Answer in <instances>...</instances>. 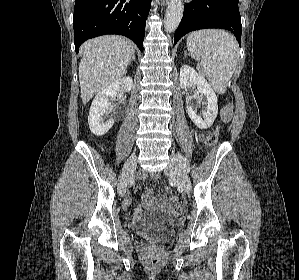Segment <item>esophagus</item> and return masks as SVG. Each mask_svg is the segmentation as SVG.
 I'll return each instance as SVG.
<instances>
[{
    "instance_id": "34e87169",
    "label": "esophagus",
    "mask_w": 299,
    "mask_h": 280,
    "mask_svg": "<svg viewBox=\"0 0 299 280\" xmlns=\"http://www.w3.org/2000/svg\"><path fill=\"white\" fill-rule=\"evenodd\" d=\"M162 5H167L169 3V0H161Z\"/></svg>"
}]
</instances>
